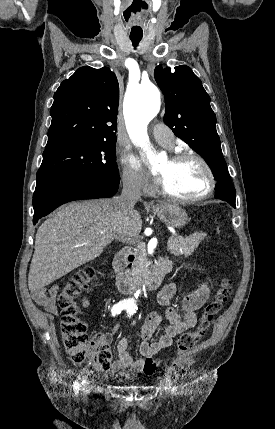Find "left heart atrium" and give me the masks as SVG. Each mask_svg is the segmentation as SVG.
<instances>
[{
  "instance_id": "obj_1",
  "label": "left heart atrium",
  "mask_w": 275,
  "mask_h": 429,
  "mask_svg": "<svg viewBox=\"0 0 275 429\" xmlns=\"http://www.w3.org/2000/svg\"><path fill=\"white\" fill-rule=\"evenodd\" d=\"M135 164L138 165V166L140 165L139 162H135Z\"/></svg>"
}]
</instances>
